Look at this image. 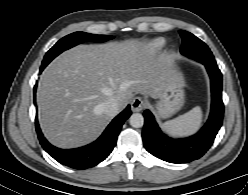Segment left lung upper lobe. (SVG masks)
Instances as JSON below:
<instances>
[{
  "label": "left lung upper lobe",
  "instance_id": "5c2ea615",
  "mask_svg": "<svg viewBox=\"0 0 248 195\" xmlns=\"http://www.w3.org/2000/svg\"><path fill=\"white\" fill-rule=\"evenodd\" d=\"M179 32L182 37L181 53L183 55L201 63H203L204 57L215 60L212 52L203 41L187 31L180 30Z\"/></svg>",
  "mask_w": 248,
  "mask_h": 195
}]
</instances>
